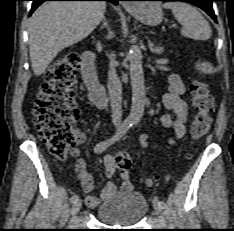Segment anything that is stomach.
<instances>
[{
	"instance_id": "0dacf381",
	"label": "stomach",
	"mask_w": 234,
	"mask_h": 231,
	"mask_svg": "<svg viewBox=\"0 0 234 231\" xmlns=\"http://www.w3.org/2000/svg\"><path fill=\"white\" fill-rule=\"evenodd\" d=\"M132 14L139 21L150 26L158 25L163 19L161 5L157 2L140 4Z\"/></svg>"
}]
</instances>
